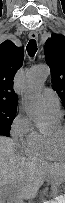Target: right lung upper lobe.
Listing matches in <instances>:
<instances>
[{"label":"right lung upper lobe","mask_w":65,"mask_h":203,"mask_svg":"<svg viewBox=\"0 0 65 203\" xmlns=\"http://www.w3.org/2000/svg\"><path fill=\"white\" fill-rule=\"evenodd\" d=\"M23 58V49L15 46L10 40L0 45V104L17 106V95L12 89V81L22 65Z\"/></svg>","instance_id":"obj_1"}]
</instances>
